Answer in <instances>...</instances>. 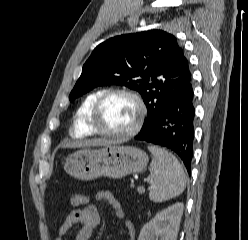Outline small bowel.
Wrapping results in <instances>:
<instances>
[{
	"mask_svg": "<svg viewBox=\"0 0 248 240\" xmlns=\"http://www.w3.org/2000/svg\"><path fill=\"white\" fill-rule=\"evenodd\" d=\"M95 199L98 202L105 201L114 210V214L118 219H124V210L115 197L110 191H98L95 194ZM77 223L81 224V229L76 234L74 240H89L92 236L93 231L100 225L101 216L98 208L95 205H85L84 207L74 209L70 211L60 226L58 235L55 240H63L64 236L70 231V229ZM124 227L128 233V239L134 240L135 229L130 222H125Z\"/></svg>",
	"mask_w": 248,
	"mask_h": 240,
	"instance_id": "1",
	"label": "small bowel"
}]
</instances>
